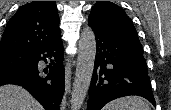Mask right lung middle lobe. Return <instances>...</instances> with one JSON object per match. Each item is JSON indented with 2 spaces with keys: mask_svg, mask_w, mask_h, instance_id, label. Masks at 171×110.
<instances>
[{
  "mask_svg": "<svg viewBox=\"0 0 171 110\" xmlns=\"http://www.w3.org/2000/svg\"><path fill=\"white\" fill-rule=\"evenodd\" d=\"M31 60V52L9 51L0 52V71L23 66Z\"/></svg>",
  "mask_w": 171,
  "mask_h": 110,
  "instance_id": "1",
  "label": "right lung middle lobe"
}]
</instances>
